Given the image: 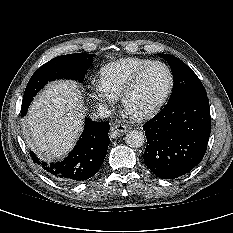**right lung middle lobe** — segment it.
<instances>
[{"mask_svg": "<svg viewBox=\"0 0 233 233\" xmlns=\"http://www.w3.org/2000/svg\"><path fill=\"white\" fill-rule=\"evenodd\" d=\"M94 54L75 53L61 55L42 65L30 78L23 96V104H30L45 84L55 79H72L83 82Z\"/></svg>", "mask_w": 233, "mask_h": 233, "instance_id": "dd1d6c3e", "label": "right lung middle lobe"}]
</instances>
